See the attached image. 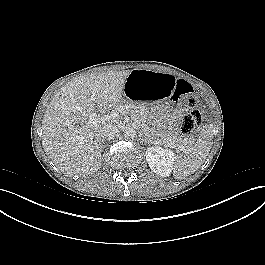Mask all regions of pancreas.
<instances>
[{
  "label": "pancreas",
  "mask_w": 265,
  "mask_h": 265,
  "mask_svg": "<svg viewBox=\"0 0 265 265\" xmlns=\"http://www.w3.org/2000/svg\"><path fill=\"white\" fill-rule=\"evenodd\" d=\"M117 110L120 111L121 114H130L132 119L140 124L141 129L145 136L149 139H152L154 143L173 145L178 143V139L171 135L169 131L162 129H155L149 127L146 122L149 117V112L146 110L144 106L137 105L131 101L121 102L117 107Z\"/></svg>",
  "instance_id": "cf45deb5"
}]
</instances>
